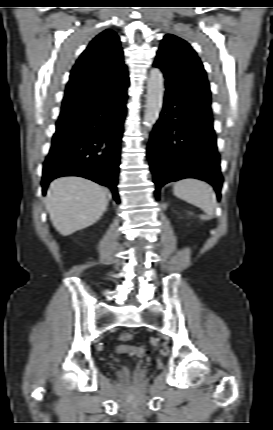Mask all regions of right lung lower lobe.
<instances>
[{
    "label": "right lung lower lobe",
    "mask_w": 273,
    "mask_h": 430,
    "mask_svg": "<svg viewBox=\"0 0 273 430\" xmlns=\"http://www.w3.org/2000/svg\"><path fill=\"white\" fill-rule=\"evenodd\" d=\"M128 85L100 88L72 120L57 125L44 162L43 194L53 179L74 175L109 187L120 203L116 185Z\"/></svg>",
    "instance_id": "right-lung-lower-lobe-1"
}]
</instances>
